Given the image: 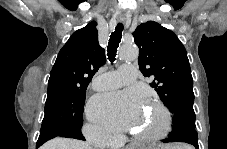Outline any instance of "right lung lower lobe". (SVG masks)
<instances>
[{
  "instance_id": "1",
  "label": "right lung lower lobe",
  "mask_w": 227,
  "mask_h": 149,
  "mask_svg": "<svg viewBox=\"0 0 227 149\" xmlns=\"http://www.w3.org/2000/svg\"><path fill=\"white\" fill-rule=\"evenodd\" d=\"M55 137H67L84 140V137L81 134L80 129H70L64 131H55V130H45L40 132L36 147H40L46 141L55 138Z\"/></svg>"
}]
</instances>
